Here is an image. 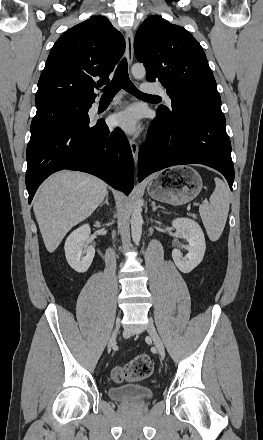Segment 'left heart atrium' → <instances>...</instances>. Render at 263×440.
Wrapping results in <instances>:
<instances>
[{"label": "left heart atrium", "mask_w": 263, "mask_h": 440, "mask_svg": "<svg viewBox=\"0 0 263 440\" xmlns=\"http://www.w3.org/2000/svg\"><path fill=\"white\" fill-rule=\"evenodd\" d=\"M140 121V112L135 107L127 108L115 115L110 119L111 125L121 129L127 133H133L137 131Z\"/></svg>", "instance_id": "39dd6f15"}]
</instances>
